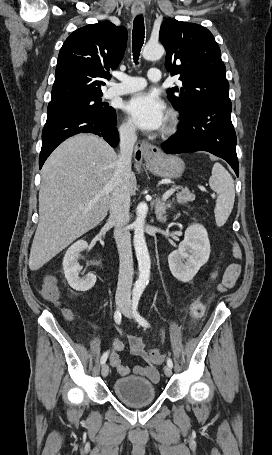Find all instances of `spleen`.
Masks as SVG:
<instances>
[{"instance_id": "obj_1", "label": "spleen", "mask_w": 272, "mask_h": 455, "mask_svg": "<svg viewBox=\"0 0 272 455\" xmlns=\"http://www.w3.org/2000/svg\"><path fill=\"white\" fill-rule=\"evenodd\" d=\"M209 185L218 195L214 213L216 224L221 227L225 224L233 209L235 200L234 181L229 172L220 163H215L212 168Z\"/></svg>"}]
</instances>
